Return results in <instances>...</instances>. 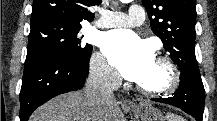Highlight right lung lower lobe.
I'll return each instance as SVG.
<instances>
[{
	"instance_id": "right-lung-lower-lobe-1",
	"label": "right lung lower lobe",
	"mask_w": 217,
	"mask_h": 121,
	"mask_svg": "<svg viewBox=\"0 0 217 121\" xmlns=\"http://www.w3.org/2000/svg\"><path fill=\"white\" fill-rule=\"evenodd\" d=\"M89 59L36 57L25 61L20 99V121L51 98L83 87L89 71Z\"/></svg>"
}]
</instances>
